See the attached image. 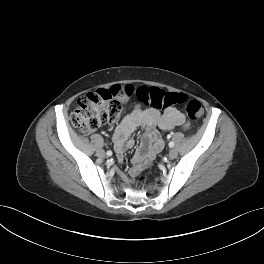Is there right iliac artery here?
Returning a JSON list of instances; mask_svg holds the SVG:
<instances>
[{"label":"right iliac artery","mask_w":264,"mask_h":264,"mask_svg":"<svg viewBox=\"0 0 264 264\" xmlns=\"http://www.w3.org/2000/svg\"><path fill=\"white\" fill-rule=\"evenodd\" d=\"M112 154H113L112 151H110V150L107 151V155H108V156H112Z\"/></svg>","instance_id":"82829eb1"}]
</instances>
